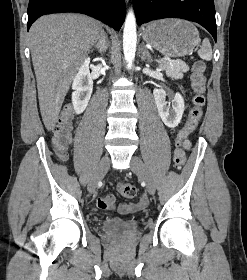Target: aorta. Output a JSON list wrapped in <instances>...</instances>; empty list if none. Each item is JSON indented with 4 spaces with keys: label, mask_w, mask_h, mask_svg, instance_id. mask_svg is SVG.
I'll use <instances>...</instances> for the list:
<instances>
[{
    "label": "aorta",
    "mask_w": 247,
    "mask_h": 280,
    "mask_svg": "<svg viewBox=\"0 0 247 280\" xmlns=\"http://www.w3.org/2000/svg\"><path fill=\"white\" fill-rule=\"evenodd\" d=\"M137 32L136 19L132 10L126 16L123 31V51L127 68L131 69L136 52Z\"/></svg>",
    "instance_id": "aorta-1"
}]
</instances>
